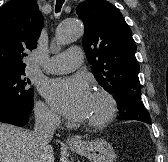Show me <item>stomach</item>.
I'll list each match as a JSON object with an SVG mask.
<instances>
[{"mask_svg": "<svg viewBox=\"0 0 168 162\" xmlns=\"http://www.w3.org/2000/svg\"><path fill=\"white\" fill-rule=\"evenodd\" d=\"M70 149L91 162H113L116 157L113 147L104 139L84 142L82 146H70Z\"/></svg>", "mask_w": 168, "mask_h": 162, "instance_id": "stomach-1", "label": "stomach"}]
</instances>
